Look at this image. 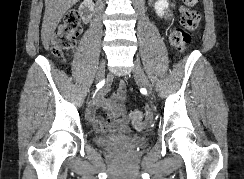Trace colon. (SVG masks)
Returning <instances> with one entry per match:
<instances>
[{"label": "colon", "instance_id": "obj_1", "mask_svg": "<svg viewBox=\"0 0 244 179\" xmlns=\"http://www.w3.org/2000/svg\"><path fill=\"white\" fill-rule=\"evenodd\" d=\"M183 2L180 8L179 25L170 33L171 44L179 52L186 49L200 21L199 13L193 9L194 3H198V0H183ZM77 32L78 21L75 18L66 19L65 23L58 26L52 37V51L63 57L66 52L74 48ZM117 115L121 116L122 112L118 111ZM130 116L136 128H144L143 108H132Z\"/></svg>", "mask_w": 244, "mask_h": 179}]
</instances>
